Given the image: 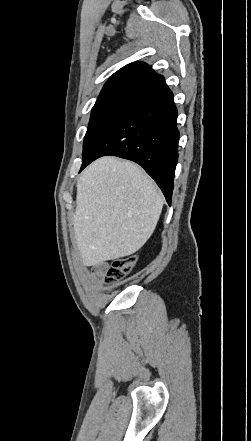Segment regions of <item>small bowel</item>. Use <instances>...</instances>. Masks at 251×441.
<instances>
[{
  "label": "small bowel",
  "instance_id": "obj_1",
  "mask_svg": "<svg viewBox=\"0 0 251 441\" xmlns=\"http://www.w3.org/2000/svg\"><path fill=\"white\" fill-rule=\"evenodd\" d=\"M107 268H108L107 262H98L95 265H93L91 277L97 285L102 284V279ZM83 273L87 274L88 273L87 269H83Z\"/></svg>",
  "mask_w": 251,
  "mask_h": 441
}]
</instances>
